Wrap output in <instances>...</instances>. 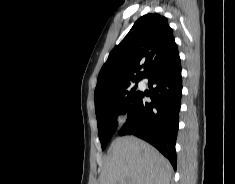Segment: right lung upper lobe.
I'll list each match as a JSON object with an SVG mask.
<instances>
[{"instance_id": "right-lung-upper-lobe-1", "label": "right lung upper lobe", "mask_w": 235, "mask_h": 184, "mask_svg": "<svg viewBox=\"0 0 235 184\" xmlns=\"http://www.w3.org/2000/svg\"><path fill=\"white\" fill-rule=\"evenodd\" d=\"M177 51L167 18L149 13L139 18L110 52L98 75L95 107L110 104V89L141 80Z\"/></svg>"}]
</instances>
